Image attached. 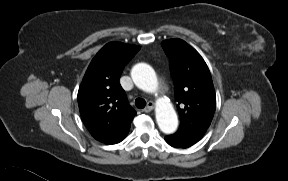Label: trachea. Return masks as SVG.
<instances>
[{"label": "trachea", "instance_id": "1", "mask_svg": "<svg viewBox=\"0 0 288 181\" xmlns=\"http://www.w3.org/2000/svg\"><path fill=\"white\" fill-rule=\"evenodd\" d=\"M135 105L138 109H143L146 106V101L142 98H137L135 100Z\"/></svg>", "mask_w": 288, "mask_h": 181}]
</instances>
